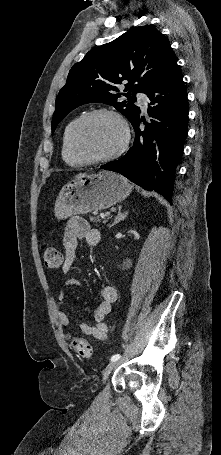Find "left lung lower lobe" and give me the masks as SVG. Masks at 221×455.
Here are the masks:
<instances>
[{
  "label": "left lung lower lobe",
  "mask_w": 221,
  "mask_h": 455,
  "mask_svg": "<svg viewBox=\"0 0 221 455\" xmlns=\"http://www.w3.org/2000/svg\"><path fill=\"white\" fill-rule=\"evenodd\" d=\"M182 78L176 62L147 93L151 101L148 114L158 121L151 120L142 131L139 125L146 122L139 113L132 122L136 134L134 145L122 158L101 166L161 194L169 203H172L176 168L188 133V99ZM153 104L156 106L151 107Z\"/></svg>",
  "instance_id": "0a47b994"
}]
</instances>
